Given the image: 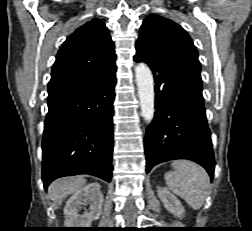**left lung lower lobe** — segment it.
<instances>
[{
	"mask_svg": "<svg viewBox=\"0 0 252 231\" xmlns=\"http://www.w3.org/2000/svg\"><path fill=\"white\" fill-rule=\"evenodd\" d=\"M155 79V116L145 137L146 171L161 162L188 159L213 179L215 159L202 96L201 69L177 59L147 58Z\"/></svg>",
	"mask_w": 252,
	"mask_h": 231,
	"instance_id": "0a47b994",
	"label": "left lung lower lobe"
}]
</instances>
